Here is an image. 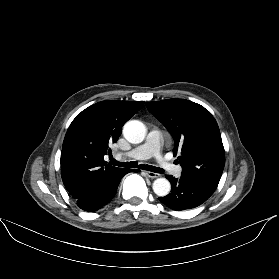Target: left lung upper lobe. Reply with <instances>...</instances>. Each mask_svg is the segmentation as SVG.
I'll use <instances>...</instances> for the list:
<instances>
[{
	"label": "left lung upper lobe",
	"mask_w": 279,
	"mask_h": 279,
	"mask_svg": "<svg viewBox=\"0 0 279 279\" xmlns=\"http://www.w3.org/2000/svg\"><path fill=\"white\" fill-rule=\"evenodd\" d=\"M146 106L172 135L174 156L180 153L182 177L215 191L224 169L225 153L212 114L203 106L184 99L148 102Z\"/></svg>",
	"instance_id": "5c2ea615"
}]
</instances>
